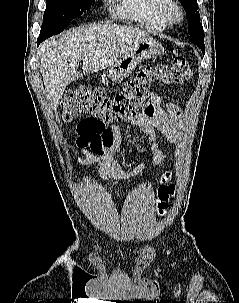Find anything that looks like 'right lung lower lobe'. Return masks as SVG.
Returning <instances> with one entry per match:
<instances>
[{
  "label": "right lung lower lobe",
  "instance_id": "right-lung-lower-lobe-1",
  "mask_svg": "<svg viewBox=\"0 0 239 303\" xmlns=\"http://www.w3.org/2000/svg\"><path fill=\"white\" fill-rule=\"evenodd\" d=\"M48 37L49 36H47V35L40 34L39 38L37 39V45H39L40 42H42L43 40H45Z\"/></svg>",
  "mask_w": 239,
  "mask_h": 303
}]
</instances>
